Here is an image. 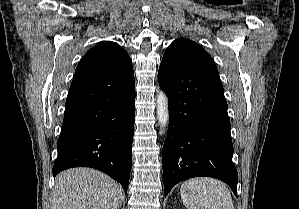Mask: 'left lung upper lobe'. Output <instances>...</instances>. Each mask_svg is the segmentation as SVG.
Returning <instances> with one entry per match:
<instances>
[{
	"mask_svg": "<svg viewBox=\"0 0 299 209\" xmlns=\"http://www.w3.org/2000/svg\"><path fill=\"white\" fill-rule=\"evenodd\" d=\"M161 63L177 69L218 72L212 57L200 45L185 38L171 43Z\"/></svg>",
	"mask_w": 299,
	"mask_h": 209,
	"instance_id": "5c2ea615",
	"label": "left lung upper lobe"
}]
</instances>
